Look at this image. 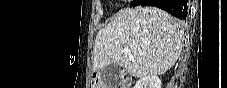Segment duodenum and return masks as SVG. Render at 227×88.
Wrapping results in <instances>:
<instances>
[{
  "label": "duodenum",
  "instance_id": "410a0bca",
  "mask_svg": "<svg viewBox=\"0 0 227 88\" xmlns=\"http://www.w3.org/2000/svg\"><path fill=\"white\" fill-rule=\"evenodd\" d=\"M123 81H124L125 83H129V82L131 81V79H130L129 77H127V76H124V77H123Z\"/></svg>",
  "mask_w": 227,
  "mask_h": 88
}]
</instances>
